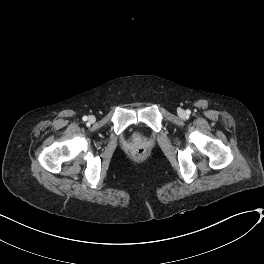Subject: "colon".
Returning a JSON list of instances; mask_svg holds the SVG:
<instances>
[{
  "instance_id": "5ec220e1",
  "label": "colon",
  "mask_w": 264,
  "mask_h": 264,
  "mask_svg": "<svg viewBox=\"0 0 264 264\" xmlns=\"http://www.w3.org/2000/svg\"><path fill=\"white\" fill-rule=\"evenodd\" d=\"M143 155H144V150H143V149H138V150L135 152V157H136V158H141Z\"/></svg>"
}]
</instances>
